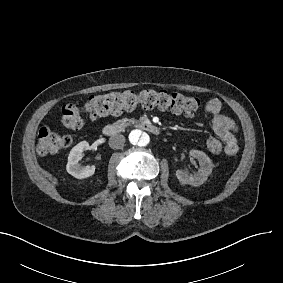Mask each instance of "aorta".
Listing matches in <instances>:
<instances>
[{
  "label": "aorta",
  "instance_id": "aorta-1",
  "mask_svg": "<svg viewBox=\"0 0 283 283\" xmlns=\"http://www.w3.org/2000/svg\"><path fill=\"white\" fill-rule=\"evenodd\" d=\"M129 141L134 146L145 147L150 142V136L140 129H134L129 134Z\"/></svg>",
  "mask_w": 283,
  "mask_h": 283
}]
</instances>
